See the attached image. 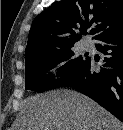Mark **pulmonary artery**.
<instances>
[{"label":"pulmonary artery","mask_w":123,"mask_h":130,"mask_svg":"<svg viewBox=\"0 0 123 130\" xmlns=\"http://www.w3.org/2000/svg\"><path fill=\"white\" fill-rule=\"evenodd\" d=\"M83 47L85 48V49H91L92 48V43L90 42V41H85L84 43H83Z\"/></svg>","instance_id":"obj_1"}]
</instances>
